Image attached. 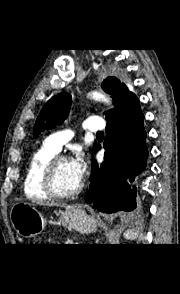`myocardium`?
Here are the masks:
<instances>
[{"instance_id":"obj_1","label":"myocardium","mask_w":180,"mask_h":294,"mask_svg":"<svg viewBox=\"0 0 180 294\" xmlns=\"http://www.w3.org/2000/svg\"><path fill=\"white\" fill-rule=\"evenodd\" d=\"M69 161V158L63 155L54 156L45 166L42 172V188L45 193L53 199H69L77 196L83 189V182H80L79 186L68 193L59 192L54 184L55 173L58 165L61 162Z\"/></svg>"}]
</instances>
